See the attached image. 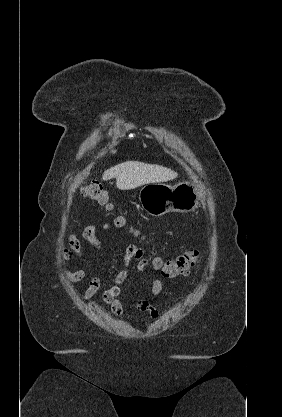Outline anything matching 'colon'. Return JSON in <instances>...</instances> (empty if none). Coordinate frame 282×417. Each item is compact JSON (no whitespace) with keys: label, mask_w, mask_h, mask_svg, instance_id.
<instances>
[{"label":"colon","mask_w":282,"mask_h":417,"mask_svg":"<svg viewBox=\"0 0 282 417\" xmlns=\"http://www.w3.org/2000/svg\"><path fill=\"white\" fill-rule=\"evenodd\" d=\"M82 193L84 196L110 211L115 216V223L118 227L127 226L128 222L125 214L115 208L106 188L101 183L96 181L87 183L82 188ZM132 234L136 238L141 237L140 232L137 229H133ZM197 258L198 253L194 250H189L175 258H162L156 256L152 259V263L161 271L164 277L175 278L187 275L190 269L195 265Z\"/></svg>","instance_id":"5ec220e1"}]
</instances>
